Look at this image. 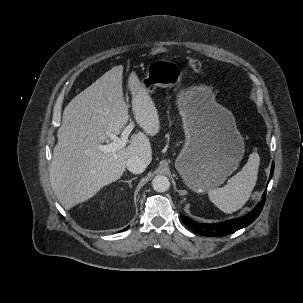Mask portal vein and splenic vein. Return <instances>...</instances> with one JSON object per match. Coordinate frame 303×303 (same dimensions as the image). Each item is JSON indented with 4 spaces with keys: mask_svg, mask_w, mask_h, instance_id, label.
<instances>
[{
    "mask_svg": "<svg viewBox=\"0 0 303 303\" xmlns=\"http://www.w3.org/2000/svg\"><path fill=\"white\" fill-rule=\"evenodd\" d=\"M135 124L131 122L122 132L121 137H117L114 134H109L110 138L113 142L106 144V145H98V149L103 153H114L119 149H122L126 146L128 142V136L130 135L131 131L133 130Z\"/></svg>",
    "mask_w": 303,
    "mask_h": 303,
    "instance_id": "1",
    "label": "portal vein and splenic vein"
}]
</instances>
